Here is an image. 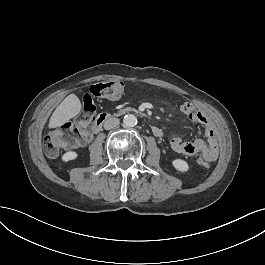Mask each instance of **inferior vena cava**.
<instances>
[{"label":"inferior vena cava","instance_id":"602c4592","mask_svg":"<svg viewBox=\"0 0 265 265\" xmlns=\"http://www.w3.org/2000/svg\"><path fill=\"white\" fill-rule=\"evenodd\" d=\"M119 124L118 118H108L104 122V129L110 130Z\"/></svg>","mask_w":265,"mask_h":265}]
</instances>
